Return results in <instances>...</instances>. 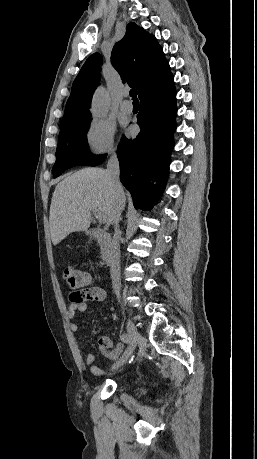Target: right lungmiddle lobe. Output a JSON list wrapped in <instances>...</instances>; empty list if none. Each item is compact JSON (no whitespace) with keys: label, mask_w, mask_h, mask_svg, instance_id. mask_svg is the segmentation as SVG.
<instances>
[{"label":"right lung middle lobe","mask_w":257,"mask_h":459,"mask_svg":"<svg viewBox=\"0 0 257 459\" xmlns=\"http://www.w3.org/2000/svg\"><path fill=\"white\" fill-rule=\"evenodd\" d=\"M91 119L74 126L59 134L56 149V162L53 167L54 178L61 175L65 169L78 165L94 166L103 156L96 157L88 152L87 131Z\"/></svg>","instance_id":"obj_1"}]
</instances>
